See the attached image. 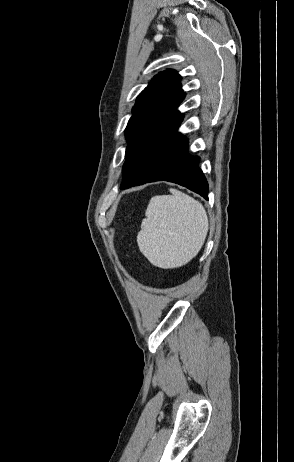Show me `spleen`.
Listing matches in <instances>:
<instances>
[{"label": "spleen", "mask_w": 294, "mask_h": 462, "mask_svg": "<svg viewBox=\"0 0 294 462\" xmlns=\"http://www.w3.org/2000/svg\"><path fill=\"white\" fill-rule=\"evenodd\" d=\"M170 193L151 198L137 236L142 254L160 268L188 263L203 246L209 228L200 202L176 189Z\"/></svg>", "instance_id": "obj_1"}]
</instances>
